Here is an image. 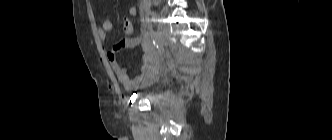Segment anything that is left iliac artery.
I'll return each mask as SVG.
<instances>
[{
    "instance_id": "obj_1",
    "label": "left iliac artery",
    "mask_w": 332,
    "mask_h": 140,
    "mask_svg": "<svg viewBox=\"0 0 332 140\" xmlns=\"http://www.w3.org/2000/svg\"><path fill=\"white\" fill-rule=\"evenodd\" d=\"M146 27L148 29L149 34L151 36H154L155 31H154V28H153V21H152V19H149V18L146 19Z\"/></svg>"
}]
</instances>
